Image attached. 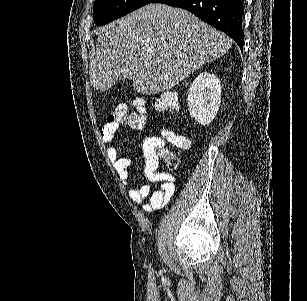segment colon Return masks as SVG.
Segmentation results:
<instances>
[{
    "mask_svg": "<svg viewBox=\"0 0 307 301\" xmlns=\"http://www.w3.org/2000/svg\"><path fill=\"white\" fill-rule=\"evenodd\" d=\"M154 107L161 112L174 113L180 109L178 96L175 92H162L155 100ZM147 121V109L141 99L134 101V110L129 113L126 105L117 106L107 117L108 124H125L133 129L142 130ZM165 141H168L177 148H186L189 146V139L171 131L165 133ZM160 157L164 160L166 166L170 170H175L179 166V156L172 151L161 149Z\"/></svg>",
    "mask_w": 307,
    "mask_h": 301,
    "instance_id": "obj_1",
    "label": "colon"
}]
</instances>
